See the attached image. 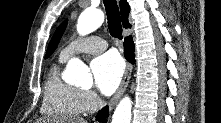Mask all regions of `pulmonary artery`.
<instances>
[{"instance_id":"obj_1","label":"pulmonary artery","mask_w":221,"mask_h":123,"mask_svg":"<svg viewBox=\"0 0 221 123\" xmlns=\"http://www.w3.org/2000/svg\"><path fill=\"white\" fill-rule=\"evenodd\" d=\"M106 48L107 42L104 39L98 36H90L70 42L61 50L59 57L62 60H66L76 53L86 52L97 54L103 52Z\"/></svg>"}]
</instances>
